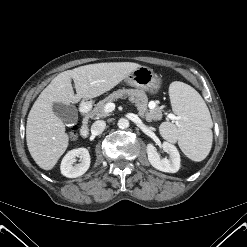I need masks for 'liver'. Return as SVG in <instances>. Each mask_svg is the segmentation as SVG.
Wrapping results in <instances>:
<instances>
[{
	"instance_id": "6515ba94",
	"label": "liver",
	"mask_w": 247,
	"mask_h": 247,
	"mask_svg": "<svg viewBox=\"0 0 247 247\" xmlns=\"http://www.w3.org/2000/svg\"><path fill=\"white\" fill-rule=\"evenodd\" d=\"M141 65L132 62L97 63L58 74L34 102L26 126L28 150L36 164L51 170L68 147L65 125L53 112V103H78L111 90ZM76 89L74 94L71 80Z\"/></svg>"
}]
</instances>
